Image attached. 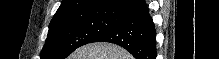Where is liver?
I'll use <instances>...</instances> for the list:
<instances>
[{
  "label": "liver",
  "instance_id": "liver-1",
  "mask_svg": "<svg viewBox=\"0 0 219 59\" xmlns=\"http://www.w3.org/2000/svg\"><path fill=\"white\" fill-rule=\"evenodd\" d=\"M68 59H133V57L120 46L101 42L78 48Z\"/></svg>",
  "mask_w": 219,
  "mask_h": 59
}]
</instances>
